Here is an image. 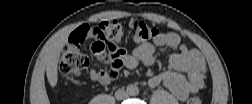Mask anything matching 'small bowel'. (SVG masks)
I'll return each mask as SVG.
<instances>
[{"instance_id": "c3829d8e", "label": "small bowel", "mask_w": 252, "mask_h": 104, "mask_svg": "<svg viewBox=\"0 0 252 104\" xmlns=\"http://www.w3.org/2000/svg\"><path fill=\"white\" fill-rule=\"evenodd\" d=\"M161 46H166L172 50L169 57L171 70L154 75L148 83L151 87L163 85L179 100L185 101L191 93H195L203 87L207 66L200 52L186 47L178 34L163 33L153 42L136 47L132 53L122 57V65L128 69L136 68L139 63L147 66L153 65L155 50ZM92 51L97 56L94 44ZM88 78L91 82L103 86H107L113 81L107 76L106 70L96 71L91 69Z\"/></svg>"}]
</instances>
